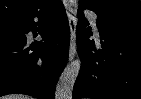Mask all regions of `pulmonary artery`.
<instances>
[{"label":"pulmonary artery","mask_w":141,"mask_h":99,"mask_svg":"<svg viewBox=\"0 0 141 99\" xmlns=\"http://www.w3.org/2000/svg\"><path fill=\"white\" fill-rule=\"evenodd\" d=\"M88 17H89V19L91 21L94 32L96 34H98L97 26H96V16L93 13H88Z\"/></svg>","instance_id":"pulmonary-artery-1"}]
</instances>
